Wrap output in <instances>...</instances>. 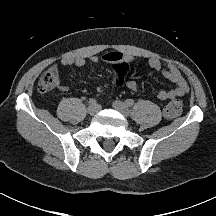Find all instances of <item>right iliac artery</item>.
<instances>
[{"mask_svg":"<svg viewBox=\"0 0 216 216\" xmlns=\"http://www.w3.org/2000/svg\"><path fill=\"white\" fill-rule=\"evenodd\" d=\"M89 104H90V105H95V104H96V100L93 99V98H91V99L89 100Z\"/></svg>","mask_w":216,"mask_h":216,"instance_id":"right-iliac-artery-1","label":"right iliac artery"}]
</instances>
